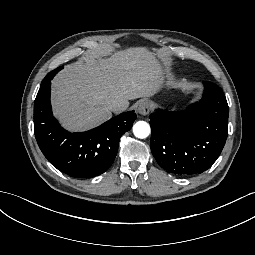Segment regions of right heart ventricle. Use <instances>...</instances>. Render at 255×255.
<instances>
[{
	"label": "right heart ventricle",
	"instance_id": "obj_1",
	"mask_svg": "<svg viewBox=\"0 0 255 255\" xmlns=\"http://www.w3.org/2000/svg\"><path fill=\"white\" fill-rule=\"evenodd\" d=\"M148 87H152L149 80L146 77H141L137 85L127 86L124 90L130 100L140 102L145 98L144 89ZM110 90L114 91V89Z\"/></svg>",
	"mask_w": 255,
	"mask_h": 255
}]
</instances>
